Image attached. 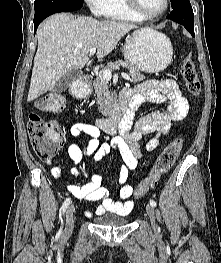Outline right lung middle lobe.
<instances>
[{
  "mask_svg": "<svg viewBox=\"0 0 221 263\" xmlns=\"http://www.w3.org/2000/svg\"><path fill=\"white\" fill-rule=\"evenodd\" d=\"M84 0H35V15L65 7L82 6Z\"/></svg>",
  "mask_w": 221,
  "mask_h": 263,
  "instance_id": "right-lung-middle-lobe-1",
  "label": "right lung middle lobe"
}]
</instances>
